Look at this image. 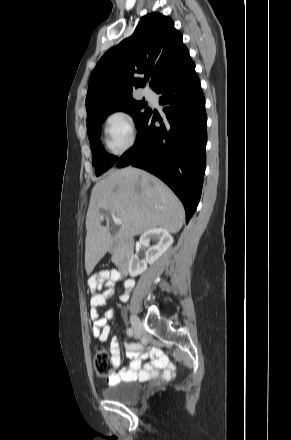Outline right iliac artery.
I'll list each match as a JSON object with an SVG mask.
<instances>
[{
    "mask_svg": "<svg viewBox=\"0 0 291 440\" xmlns=\"http://www.w3.org/2000/svg\"><path fill=\"white\" fill-rule=\"evenodd\" d=\"M127 334L131 337V336H133V329L132 328H129L128 330H127Z\"/></svg>",
    "mask_w": 291,
    "mask_h": 440,
    "instance_id": "1",
    "label": "right iliac artery"
}]
</instances>
